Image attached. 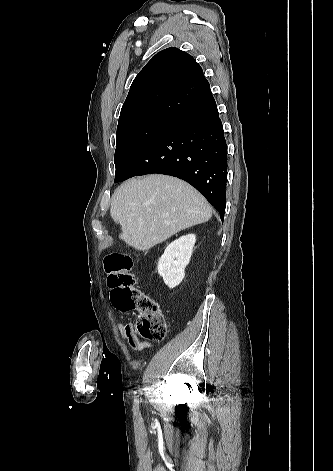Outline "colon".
<instances>
[{"mask_svg":"<svg viewBox=\"0 0 333 471\" xmlns=\"http://www.w3.org/2000/svg\"><path fill=\"white\" fill-rule=\"evenodd\" d=\"M132 266V259L125 252H112L105 257L112 304L120 311L137 313L136 329L141 336L162 341L167 332L165 317L158 303L136 287Z\"/></svg>","mask_w":333,"mask_h":471,"instance_id":"5ec220e1","label":"colon"}]
</instances>
